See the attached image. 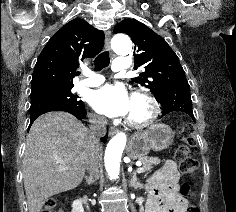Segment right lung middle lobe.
Returning <instances> with one entry per match:
<instances>
[{"instance_id": "right-lung-middle-lobe-1", "label": "right lung middle lobe", "mask_w": 236, "mask_h": 212, "mask_svg": "<svg viewBox=\"0 0 236 212\" xmlns=\"http://www.w3.org/2000/svg\"><path fill=\"white\" fill-rule=\"evenodd\" d=\"M73 86L74 85L64 87H50L31 92V99L45 98L62 103H67L70 105L84 104L81 100L78 99L77 95L72 94L71 89L73 88Z\"/></svg>"}]
</instances>
